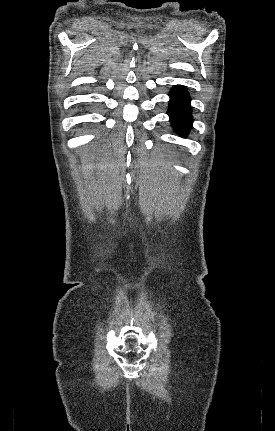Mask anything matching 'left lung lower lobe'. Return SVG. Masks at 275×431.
Masks as SVG:
<instances>
[{
	"label": "left lung lower lobe",
	"instance_id": "left-lung-lower-lobe-1",
	"mask_svg": "<svg viewBox=\"0 0 275 431\" xmlns=\"http://www.w3.org/2000/svg\"><path fill=\"white\" fill-rule=\"evenodd\" d=\"M169 101V115L172 126L179 132L182 137H185L192 128V107L190 105V96L186 88L182 85H175L171 89Z\"/></svg>",
	"mask_w": 275,
	"mask_h": 431
}]
</instances>
